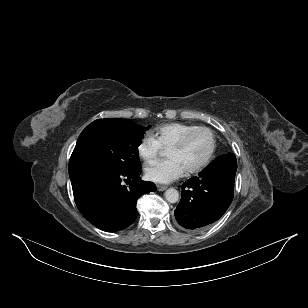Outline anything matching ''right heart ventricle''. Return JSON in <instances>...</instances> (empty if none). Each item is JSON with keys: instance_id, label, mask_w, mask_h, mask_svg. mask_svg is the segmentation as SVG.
Instances as JSON below:
<instances>
[{"instance_id": "e07e8e85", "label": "right heart ventricle", "mask_w": 308, "mask_h": 308, "mask_svg": "<svg viewBox=\"0 0 308 308\" xmlns=\"http://www.w3.org/2000/svg\"><path fill=\"white\" fill-rule=\"evenodd\" d=\"M199 127L195 124H188L182 122H169L157 126L152 133L161 148H169L186 132Z\"/></svg>"}]
</instances>
